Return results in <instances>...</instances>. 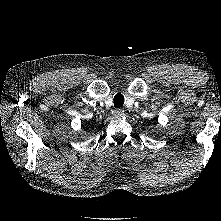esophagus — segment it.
<instances>
[{"instance_id":"34e87169","label":"esophagus","mask_w":221,"mask_h":221,"mask_svg":"<svg viewBox=\"0 0 221 221\" xmlns=\"http://www.w3.org/2000/svg\"><path fill=\"white\" fill-rule=\"evenodd\" d=\"M124 114V111L121 108H117L114 110V116L117 118L122 117Z\"/></svg>"}]
</instances>
